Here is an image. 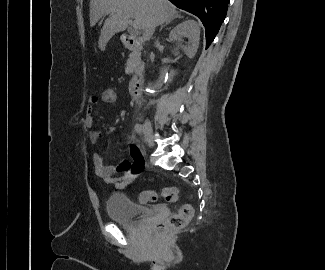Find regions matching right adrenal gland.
<instances>
[{
  "label": "right adrenal gland",
  "mask_w": 325,
  "mask_h": 270,
  "mask_svg": "<svg viewBox=\"0 0 325 270\" xmlns=\"http://www.w3.org/2000/svg\"><path fill=\"white\" fill-rule=\"evenodd\" d=\"M181 16L180 15H175L172 19H170V20H168L164 25H162L161 27H160V31L163 29V27H165L166 25H168L173 19H175V18H180Z\"/></svg>",
  "instance_id": "obj_1"
}]
</instances>
